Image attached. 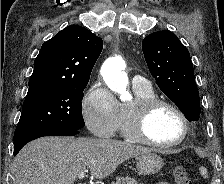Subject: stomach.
<instances>
[{
  "mask_svg": "<svg viewBox=\"0 0 224 184\" xmlns=\"http://www.w3.org/2000/svg\"><path fill=\"white\" fill-rule=\"evenodd\" d=\"M136 167L142 175H153L163 167V160L156 153L148 152L136 158Z\"/></svg>",
  "mask_w": 224,
  "mask_h": 184,
  "instance_id": "obj_1",
  "label": "stomach"
}]
</instances>
